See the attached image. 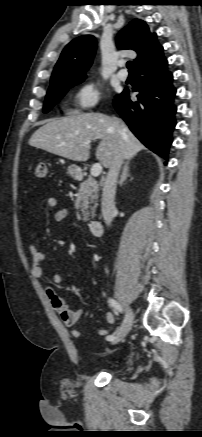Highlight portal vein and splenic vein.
Listing matches in <instances>:
<instances>
[{"label": "portal vein and splenic vein", "instance_id": "1", "mask_svg": "<svg viewBox=\"0 0 202 437\" xmlns=\"http://www.w3.org/2000/svg\"><path fill=\"white\" fill-rule=\"evenodd\" d=\"M89 142L90 141H87L86 144H88ZM101 172H102V166L100 163L94 164L91 168V171H90L91 176H93V177L99 176L101 174Z\"/></svg>", "mask_w": 202, "mask_h": 437}]
</instances>
